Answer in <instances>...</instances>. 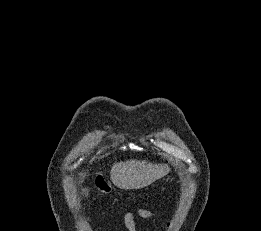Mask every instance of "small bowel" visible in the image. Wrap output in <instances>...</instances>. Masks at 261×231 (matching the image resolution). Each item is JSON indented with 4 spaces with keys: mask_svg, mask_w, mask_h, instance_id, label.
Returning <instances> with one entry per match:
<instances>
[{
    "mask_svg": "<svg viewBox=\"0 0 261 231\" xmlns=\"http://www.w3.org/2000/svg\"><path fill=\"white\" fill-rule=\"evenodd\" d=\"M143 219L153 218V213L144 208H138L135 211H130L124 214L123 222L128 231H136V217Z\"/></svg>",
    "mask_w": 261,
    "mask_h": 231,
    "instance_id": "c3829d8e",
    "label": "small bowel"
}]
</instances>
